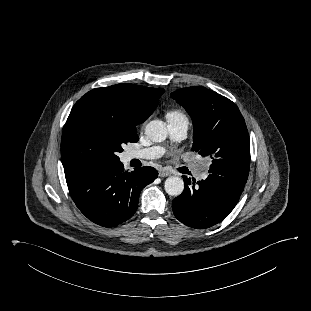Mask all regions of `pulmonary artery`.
I'll return each mask as SVG.
<instances>
[{"label":"pulmonary artery","mask_w":311,"mask_h":311,"mask_svg":"<svg viewBox=\"0 0 311 311\" xmlns=\"http://www.w3.org/2000/svg\"><path fill=\"white\" fill-rule=\"evenodd\" d=\"M188 121L180 120L168 122L170 137L174 141L183 139L188 130ZM164 149L161 147H150L141 150H135L128 153L129 159H156L162 156ZM208 176L207 171L203 170L196 174L198 180H205Z\"/></svg>","instance_id":"e3ab8cb5"}]
</instances>
